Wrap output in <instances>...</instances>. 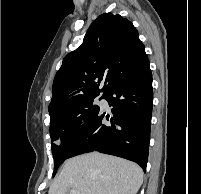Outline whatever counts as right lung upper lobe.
<instances>
[{
  "label": "right lung upper lobe",
  "instance_id": "cb5924a9",
  "mask_svg": "<svg viewBox=\"0 0 201 194\" xmlns=\"http://www.w3.org/2000/svg\"><path fill=\"white\" fill-rule=\"evenodd\" d=\"M146 56L132 22L118 14L100 15L89 27L82 45L63 59L53 82L50 117L63 114L83 99L105 93Z\"/></svg>",
  "mask_w": 201,
  "mask_h": 194
}]
</instances>
